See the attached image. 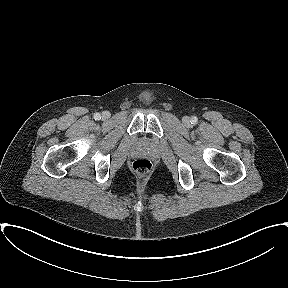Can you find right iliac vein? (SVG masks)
Wrapping results in <instances>:
<instances>
[{"instance_id": "right-iliac-vein-1", "label": "right iliac vein", "mask_w": 288, "mask_h": 288, "mask_svg": "<svg viewBox=\"0 0 288 288\" xmlns=\"http://www.w3.org/2000/svg\"><path fill=\"white\" fill-rule=\"evenodd\" d=\"M110 117V113L109 112H103L102 113V119L106 120Z\"/></svg>"}]
</instances>
